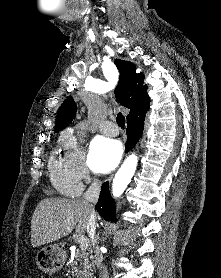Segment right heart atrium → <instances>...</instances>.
Masks as SVG:
<instances>
[{
	"label": "right heart atrium",
	"instance_id": "d8ad5b80",
	"mask_svg": "<svg viewBox=\"0 0 221 278\" xmlns=\"http://www.w3.org/2000/svg\"><path fill=\"white\" fill-rule=\"evenodd\" d=\"M64 158L79 181H90L93 172L85 150L73 133H67L62 138Z\"/></svg>",
	"mask_w": 221,
	"mask_h": 278
}]
</instances>
